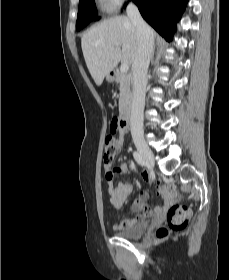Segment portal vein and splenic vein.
Returning <instances> with one entry per match:
<instances>
[{"label":"portal vein and splenic vein","instance_id":"18ae733b","mask_svg":"<svg viewBox=\"0 0 229 280\" xmlns=\"http://www.w3.org/2000/svg\"><path fill=\"white\" fill-rule=\"evenodd\" d=\"M128 69H129V64L126 62H123L120 66L121 72L126 73L128 71Z\"/></svg>","mask_w":229,"mask_h":280}]
</instances>
